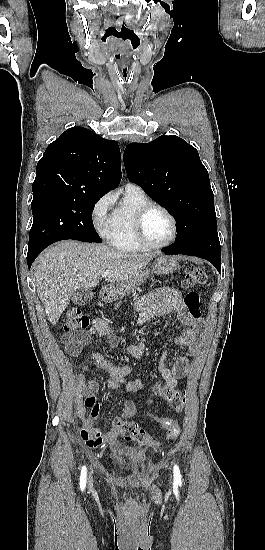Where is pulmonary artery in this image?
<instances>
[{"mask_svg":"<svg viewBox=\"0 0 265 550\" xmlns=\"http://www.w3.org/2000/svg\"><path fill=\"white\" fill-rule=\"evenodd\" d=\"M126 188H138L140 189L139 187L133 185V184H127ZM141 190V189H140Z\"/></svg>","mask_w":265,"mask_h":550,"instance_id":"obj_1","label":"pulmonary artery"}]
</instances>
